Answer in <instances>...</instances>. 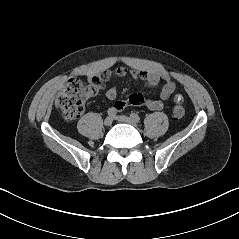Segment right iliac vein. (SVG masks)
I'll use <instances>...</instances> for the list:
<instances>
[{
  "label": "right iliac vein",
  "mask_w": 239,
  "mask_h": 239,
  "mask_svg": "<svg viewBox=\"0 0 239 239\" xmlns=\"http://www.w3.org/2000/svg\"><path fill=\"white\" fill-rule=\"evenodd\" d=\"M112 122H113V118L110 117V116H108V117H106L105 120H104V125H105V126H110V125L112 124Z\"/></svg>",
  "instance_id": "obj_1"
}]
</instances>
